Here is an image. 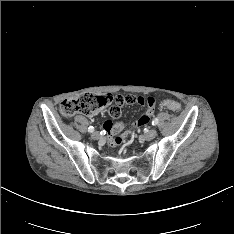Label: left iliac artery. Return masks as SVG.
Here are the masks:
<instances>
[{
	"instance_id": "44dca946",
	"label": "left iliac artery",
	"mask_w": 234,
	"mask_h": 234,
	"mask_svg": "<svg viewBox=\"0 0 234 234\" xmlns=\"http://www.w3.org/2000/svg\"><path fill=\"white\" fill-rule=\"evenodd\" d=\"M159 120L158 118H155L153 121H152V125L153 126H156L158 124Z\"/></svg>"
}]
</instances>
